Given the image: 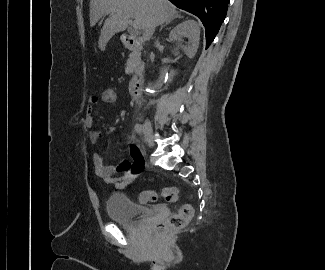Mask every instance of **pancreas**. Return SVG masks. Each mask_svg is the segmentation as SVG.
<instances>
[{"label":"pancreas","instance_id":"obj_1","mask_svg":"<svg viewBox=\"0 0 325 270\" xmlns=\"http://www.w3.org/2000/svg\"><path fill=\"white\" fill-rule=\"evenodd\" d=\"M144 65V63H141V67ZM136 70V67L132 65L131 61L127 62V66H126V73L128 74H132L134 71Z\"/></svg>","mask_w":325,"mask_h":270}]
</instances>
